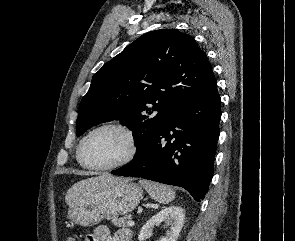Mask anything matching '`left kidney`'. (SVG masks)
<instances>
[{"instance_id": "1", "label": "left kidney", "mask_w": 295, "mask_h": 241, "mask_svg": "<svg viewBox=\"0 0 295 241\" xmlns=\"http://www.w3.org/2000/svg\"><path fill=\"white\" fill-rule=\"evenodd\" d=\"M184 209L180 206H169L151 217L140 230L138 239L140 241L152 235L154 226H159L162 222L169 225V229L164 237L158 241H177L184 224Z\"/></svg>"}]
</instances>
